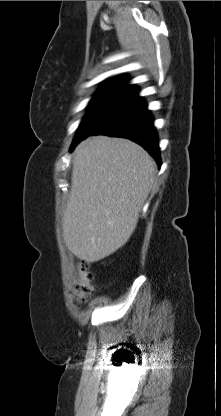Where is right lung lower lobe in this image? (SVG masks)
I'll return each mask as SVG.
<instances>
[{
	"mask_svg": "<svg viewBox=\"0 0 221 416\" xmlns=\"http://www.w3.org/2000/svg\"><path fill=\"white\" fill-rule=\"evenodd\" d=\"M108 135L128 138L142 147L161 166L157 132L153 126V117L147 110L145 101L137 96L125 99L96 129L88 135L73 140L71 150L77 143L89 135Z\"/></svg>",
	"mask_w": 221,
	"mask_h": 416,
	"instance_id": "right-lung-lower-lobe-1",
	"label": "right lung lower lobe"
}]
</instances>
